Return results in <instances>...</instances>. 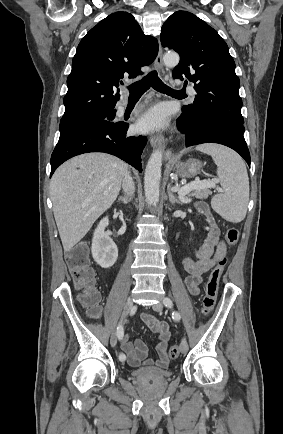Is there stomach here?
I'll return each instance as SVG.
<instances>
[{"instance_id":"1","label":"stomach","mask_w":283,"mask_h":434,"mask_svg":"<svg viewBox=\"0 0 283 434\" xmlns=\"http://www.w3.org/2000/svg\"><path fill=\"white\" fill-rule=\"evenodd\" d=\"M202 164L198 160H189L186 163H181L177 168V174L184 178H191L196 176Z\"/></svg>"}]
</instances>
